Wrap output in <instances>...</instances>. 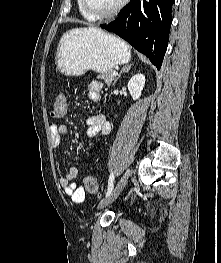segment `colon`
<instances>
[{"label": "colon", "instance_id": "5ec220e1", "mask_svg": "<svg viewBox=\"0 0 221 263\" xmlns=\"http://www.w3.org/2000/svg\"><path fill=\"white\" fill-rule=\"evenodd\" d=\"M67 111V99L64 94H58L52 103V116L56 118L63 117ZM85 190L92 194L99 196L100 189L96 177L90 175L84 181Z\"/></svg>", "mask_w": 221, "mask_h": 263}]
</instances>
